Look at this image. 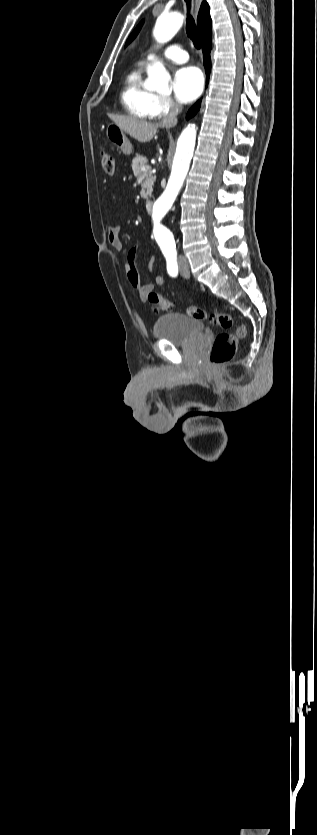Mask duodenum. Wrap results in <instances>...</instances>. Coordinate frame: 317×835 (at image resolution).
Returning <instances> with one entry per match:
<instances>
[{"instance_id":"obj_1","label":"duodenum","mask_w":317,"mask_h":835,"mask_svg":"<svg viewBox=\"0 0 317 835\" xmlns=\"http://www.w3.org/2000/svg\"><path fill=\"white\" fill-rule=\"evenodd\" d=\"M145 208L148 213H151L153 209V201H147Z\"/></svg>"}]
</instances>
